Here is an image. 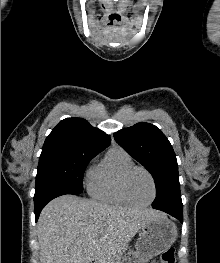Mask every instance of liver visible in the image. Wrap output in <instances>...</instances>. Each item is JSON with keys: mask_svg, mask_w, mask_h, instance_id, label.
I'll return each mask as SVG.
<instances>
[{"mask_svg": "<svg viewBox=\"0 0 220 263\" xmlns=\"http://www.w3.org/2000/svg\"><path fill=\"white\" fill-rule=\"evenodd\" d=\"M162 214L63 195L42 210L37 234L40 263H119L136 233Z\"/></svg>", "mask_w": 220, "mask_h": 263, "instance_id": "obj_1", "label": "liver"}]
</instances>
